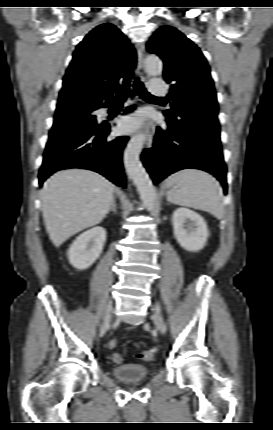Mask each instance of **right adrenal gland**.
Segmentation results:
<instances>
[{"label":"right adrenal gland","instance_id":"right-adrenal-gland-1","mask_svg":"<svg viewBox=\"0 0 273 430\" xmlns=\"http://www.w3.org/2000/svg\"><path fill=\"white\" fill-rule=\"evenodd\" d=\"M110 211H113L114 213L117 212V206H116L115 199L113 200L112 205H111V207L107 213H109Z\"/></svg>","mask_w":273,"mask_h":430}]
</instances>
